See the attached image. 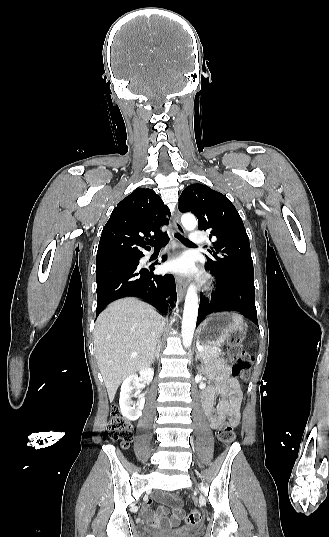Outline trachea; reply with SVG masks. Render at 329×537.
Masks as SVG:
<instances>
[{
	"instance_id": "1",
	"label": "trachea",
	"mask_w": 329,
	"mask_h": 537,
	"mask_svg": "<svg viewBox=\"0 0 329 537\" xmlns=\"http://www.w3.org/2000/svg\"><path fill=\"white\" fill-rule=\"evenodd\" d=\"M175 236L185 245H194L191 241L181 236L179 233H176ZM169 241L168 234L165 233L162 236H160L155 241H150L149 244L154 247H163L165 244H167Z\"/></svg>"
}]
</instances>
